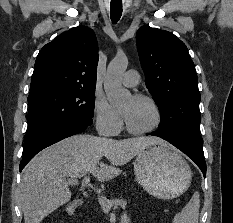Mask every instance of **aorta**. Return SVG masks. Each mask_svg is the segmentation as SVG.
Listing matches in <instances>:
<instances>
[{"mask_svg": "<svg viewBox=\"0 0 233 223\" xmlns=\"http://www.w3.org/2000/svg\"><path fill=\"white\" fill-rule=\"evenodd\" d=\"M127 66V58H114L107 68L104 90L110 106H121L131 98L129 90L121 86V76L126 72Z\"/></svg>", "mask_w": 233, "mask_h": 223, "instance_id": "762f6f07", "label": "aorta"}]
</instances>
